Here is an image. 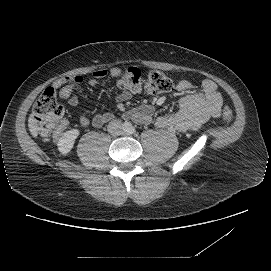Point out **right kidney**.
I'll use <instances>...</instances> for the list:
<instances>
[{"mask_svg":"<svg viewBox=\"0 0 271 271\" xmlns=\"http://www.w3.org/2000/svg\"><path fill=\"white\" fill-rule=\"evenodd\" d=\"M79 135L78 129L66 131L58 141V150L66 155L73 148L74 142Z\"/></svg>","mask_w":271,"mask_h":271,"instance_id":"obj_1","label":"right kidney"}]
</instances>
